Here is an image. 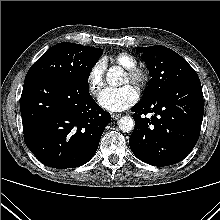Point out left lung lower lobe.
<instances>
[{
	"label": "left lung lower lobe",
	"instance_id": "1",
	"mask_svg": "<svg viewBox=\"0 0 220 220\" xmlns=\"http://www.w3.org/2000/svg\"><path fill=\"white\" fill-rule=\"evenodd\" d=\"M135 128L129 145L134 155L154 166L183 160L196 145L204 113L199 79L182 82L132 108ZM152 113V117L141 116Z\"/></svg>",
	"mask_w": 220,
	"mask_h": 220
}]
</instances>
